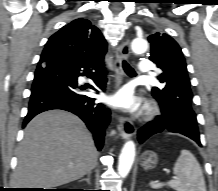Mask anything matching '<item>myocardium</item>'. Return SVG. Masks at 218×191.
Wrapping results in <instances>:
<instances>
[{
    "mask_svg": "<svg viewBox=\"0 0 218 191\" xmlns=\"http://www.w3.org/2000/svg\"><path fill=\"white\" fill-rule=\"evenodd\" d=\"M159 113V109L155 104H150L145 112V118L146 119H153L155 118Z\"/></svg>",
    "mask_w": 218,
    "mask_h": 191,
    "instance_id": "myocardium-1",
    "label": "myocardium"
}]
</instances>
